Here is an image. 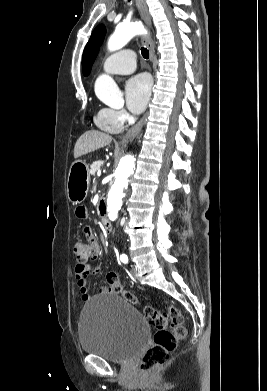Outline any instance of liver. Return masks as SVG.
Here are the masks:
<instances>
[{
  "instance_id": "obj_1",
  "label": "liver",
  "mask_w": 267,
  "mask_h": 391,
  "mask_svg": "<svg viewBox=\"0 0 267 391\" xmlns=\"http://www.w3.org/2000/svg\"><path fill=\"white\" fill-rule=\"evenodd\" d=\"M113 138L98 130H89L82 134L74 147V158L81 157L109 145Z\"/></svg>"
}]
</instances>
